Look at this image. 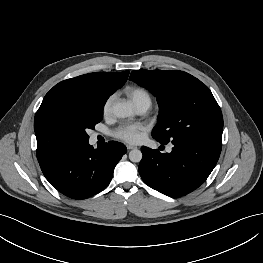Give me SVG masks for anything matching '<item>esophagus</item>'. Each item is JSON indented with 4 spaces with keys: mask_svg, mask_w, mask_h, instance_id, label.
Wrapping results in <instances>:
<instances>
[{
    "mask_svg": "<svg viewBox=\"0 0 263 263\" xmlns=\"http://www.w3.org/2000/svg\"><path fill=\"white\" fill-rule=\"evenodd\" d=\"M126 147H127L128 150H132V149H136L137 148L135 145H130V144L126 145Z\"/></svg>",
    "mask_w": 263,
    "mask_h": 263,
    "instance_id": "obj_1",
    "label": "esophagus"
}]
</instances>
